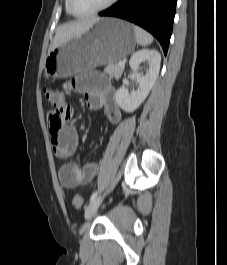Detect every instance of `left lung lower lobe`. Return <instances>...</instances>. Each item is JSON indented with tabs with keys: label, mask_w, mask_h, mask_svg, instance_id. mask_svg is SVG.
<instances>
[{
	"label": "left lung lower lobe",
	"mask_w": 227,
	"mask_h": 265,
	"mask_svg": "<svg viewBox=\"0 0 227 265\" xmlns=\"http://www.w3.org/2000/svg\"><path fill=\"white\" fill-rule=\"evenodd\" d=\"M177 0H118L99 16H113L133 22L149 31L167 54Z\"/></svg>",
	"instance_id": "0a47b994"
}]
</instances>
